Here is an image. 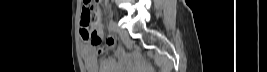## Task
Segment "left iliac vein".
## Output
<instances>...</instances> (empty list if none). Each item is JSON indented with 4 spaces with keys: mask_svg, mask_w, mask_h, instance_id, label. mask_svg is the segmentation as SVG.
Returning <instances> with one entry per match:
<instances>
[{
    "mask_svg": "<svg viewBox=\"0 0 267 72\" xmlns=\"http://www.w3.org/2000/svg\"><path fill=\"white\" fill-rule=\"evenodd\" d=\"M117 31H118V34H119V36L123 42H127L129 40V34H128L126 29L119 27L117 25Z\"/></svg>",
    "mask_w": 267,
    "mask_h": 72,
    "instance_id": "left-iliac-vein-1",
    "label": "left iliac vein"
}]
</instances>
